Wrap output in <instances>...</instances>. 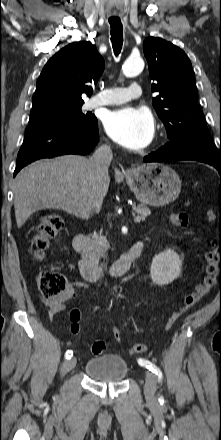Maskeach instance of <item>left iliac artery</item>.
Returning <instances> with one entry per match:
<instances>
[{
  "mask_svg": "<svg viewBox=\"0 0 221 440\" xmlns=\"http://www.w3.org/2000/svg\"><path fill=\"white\" fill-rule=\"evenodd\" d=\"M139 364L145 366L147 369H149L154 374H156V376L158 377L159 382L162 381V378H163L162 371L155 364H153V363H151V362H149L148 360H145V359H140L139 360Z\"/></svg>",
  "mask_w": 221,
  "mask_h": 440,
  "instance_id": "obj_1",
  "label": "left iliac artery"
}]
</instances>
